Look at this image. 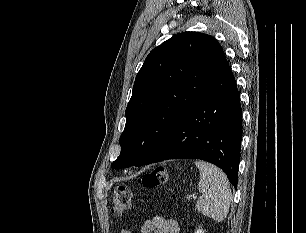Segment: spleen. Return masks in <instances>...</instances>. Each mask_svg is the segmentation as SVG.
<instances>
[{"instance_id": "1", "label": "spleen", "mask_w": 306, "mask_h": 233, "mask_svg": "<svg viewBox=\"0 0 306 233\" xmlns=\"http://www.w3.org/2000/svg\"><path fill=\"white\" fill-rule=\"evenodd\" d=\"M195 166L200 172L198 189L202 193L196 209L216 222H222L229 212L232 198L227 176L208 162L196 161Z\"/></svg>"}]
</instances>
